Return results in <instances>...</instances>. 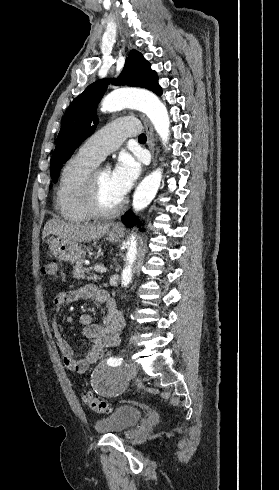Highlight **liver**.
<instances>
[{"instance_id": "6515ba94", "label": "liver", "mask_w": 279, "mask_h": 490, "mask_svg": "<svg viewBox=\"0 0 279 490\" xmlns=\"http://www.w3.org/2000/svg\"><path fill=\"white\" fill-rule=\"evenodd\" d=\"M111 224H102V226H82V224H66L62 220H48L42 232V240H45L50 234L63 238V240H72V242H90V240H98L105 236Z\"/></svg>"}]
</instances>
